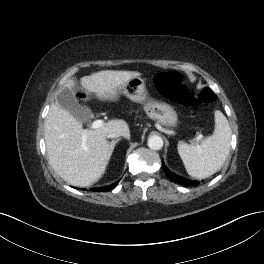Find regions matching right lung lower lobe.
Instances as JSON below:
<instances>
[{
	"label": "right lung lower lobe",
	"instance_id": "obj_1",
	"mask_svg": "<svg viewBox=\"0 0 264 264\" xmlns=\"http://www.w3.org/2000/svg\"><path fill=\"white\" fill-rule=\"evenodd\" d=\"M118 182L119 181H117L116 183H113L109 186L94 188V189H92V191H96V192L109 191L110 189H113L118 184Z\"/></svg>",
	"mask_w": 264,
	"mask_h": 264
}]
</instances>
